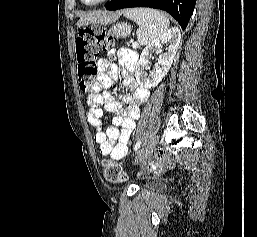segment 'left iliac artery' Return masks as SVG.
Returning a JSON list of instances; mask_svg holds the SVG:
<instances>
[{
  "mask_svg": "<svg viewBox=\"0 0 257 237\" xmlns=\"http://www.w3.org/2000/svg\"><path fill=\"white\" fill-rule=\"evenodd\" d=\"M140 145H141V141H138V142L135 144L134 150L137 151V150L140 148Z\"/></svg>",
  "mask_w": 257,
  "mask_h": 237,
  "instance_id": "obj_1",
  "label": "left iliac artery"
}]
</instances>
